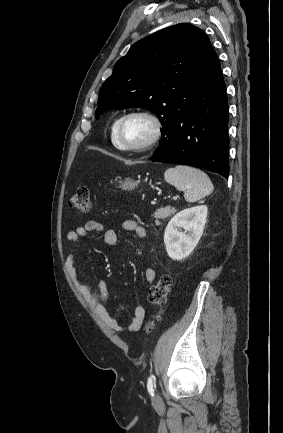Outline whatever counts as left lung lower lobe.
<instances>
[{
    "instance_id": "obj_1",
    "label": "left lung lower lobe",
    "mask_w": 283,
    "mask_h": 433,
    "mask_svg": "<svg viewBox=\"0 0 283 433\" xmlns=\"http://www.w3.org/2000/svg\"><path fill=\"white\" fill-rule=\"evenodd\" d=\"M193 106L163 127L154 162L204 168L228 178V102L219 60L214 51L197 75Z\"/></svg>"
}]
</instances>
